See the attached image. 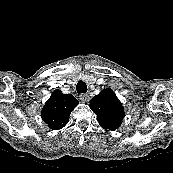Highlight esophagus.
Listing matches in <instances>:
<instances>
[{
	"instance_id": "esophagus-1",
	"label": "esophagus",
	"mask_w": 173,
	"mask_h": 173,
	"mask_svg": "<svg viewBox=\"0 0 173 173\" xmlns=\"http://www.w3.org/2000/svg\"><path fill=\"white\" fill-rule=\"evenodd\" d=\"M79 99L83 102H87V101H89V96L87 94H81L79 96Z\"/></svg>"
}]
</instances>
